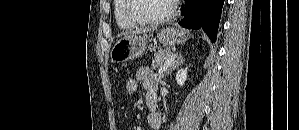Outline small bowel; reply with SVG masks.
<instances>
[{"mask_svg":"<svg viewBox=\"0 0 299 130\" xmlns=\"http://www.w3.org/2000/svg\"><path fill=\"white\" fill-rule=\"evenodd\" d=\"M139 85L146 91V98L151 93H156V85L159 81V75L154 73L148 67H141L136 72ZM148 124L154 130H159L161 127V116L158 113H150L148 115Z\"/></svg>","mask_w":299,"mask_h":130,"instance_id":"1","label":"small bowel"}]
</instances>
